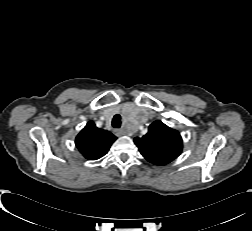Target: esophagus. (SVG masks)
Instances as JSON below:
<instances>
[{
  "mask_svg": "<svg viewBox=\"0 0 252 231\" xmlns=\"http://www.w3.org/2000/svg\"><path fill=\"white\" fill-rule=\"evenodd\" d=\"M124 134V131L122 130V129H116L115 130V135L116 136H121V135H123Z\"/></svg>",
  "mask_w": 252,
  "mask_h": 231,
  "instance_id": "obj_1",
  "label": "esophagus"
}]
</instances>
